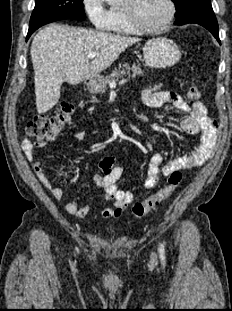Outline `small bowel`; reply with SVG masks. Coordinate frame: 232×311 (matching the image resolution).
Segmentation results:
<instances>
[{
    "label": "small bowel",
    "mask_w": 232,
    "mask_h": 311,
    "mask_svg": "<svg viewBox=\"0 0 232 311\" xmlns=\"http://www.w3.org/2000/svg\"><path fill=\"white\" fill-rule=\"evenodd\" d=\"M142 100L145 106L157 108L165 103H171L176 109L187 114V117L181 120V128L193 135H199V143L195 150L183 157L176 158L164 164V157L161 154H154L146 170L143 186L152 189L157 186L160 175L167 176L178 170H192L203 165L210 157L218 137V125L207 116L204 104L200 101L187 103L182 97L172 91L165 90L161 84L149 85L142 93ZM73 137L77 141L86 138V132L76 131ZM47 142L43 140H33L26 137L21 143V150L26 159L31 163L34 172L41 183L50 190L53 197L57 200L63 198L61 188L55 186L45 173L41 161L36 160L33 155L35 148L44 147ZM101 174L92 177V182L104 191V200L112 202L101 212L103 219L121 217L125 207L135 200L131 191L121 190L117 186V181L123 172V160L121 157L106 156L100 162ZM89 204L80 205V199L76 198L65 204V210L79 218H84L90 211Z\"/></svg>",
    "instance_id": "1"
}]
</instances>
